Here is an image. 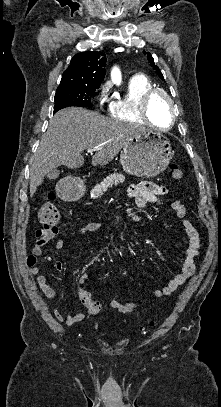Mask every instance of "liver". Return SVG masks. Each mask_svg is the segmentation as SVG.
Returning <instances> with one entry per match:
<instances>
[{
	"label": "liver",
	"mask_w": 221,
	"mask_h": 407,
	"mask_svg": "<svg viewBox=\"0 0 221 407\" xmlns=\"http://www.w3.org/2000/svg\"><path fill=\"white\" fill-rule=\"evenodd\" d=\"M144 132V127L110 119L87 109L70 107L58 111L50 119L31 159V197L54 168L60 165L70 169L81 167L85 161L81 155L84 150L97 148L92 165H106L134 137Z\"/></svg>",
	"instance_id": "6515ba94"
}]
</instances>
